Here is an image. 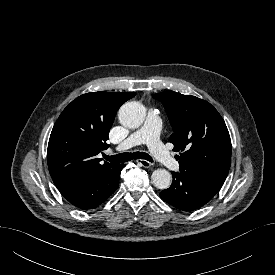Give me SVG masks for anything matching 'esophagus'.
I'll list each match as a JSON object with an SVG mask.
<instances>
[{
  "label": "esophagus",
  "instance_id": "1",
  "mask_svg": "<svg viewBox=\"0 0 275 275\" xmlns=\"http://www.w3.org/2000/svg\"><path fill=\"white\" fill-rule=\"evenodd\" d=\"M136 162L144 168H151L152 167V163H150L149 161L144 160V159H139Z\"/></svg>",
  "mask_w": 275,
  "mask_h": 275
}]
</instances>
